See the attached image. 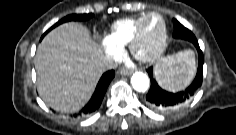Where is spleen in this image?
I'll list each match as a JSON object with an SVG mask.
<instances>
[{
    "label": "spleen",
    "instance_id": "obj_1",
    "mask_svg": "<svg viewBox=\"0 0 236 135\" xmlns=\"http://www.w3.org/2000/svg\"><path fill=\"white\" fill-rule=\"evenodd\" d=\"M196 72L195 54L192 50L167 56L155 66V77L161 87L176 92L188 86Z\"/></svg>",
    "mask_w": 236,
    "mask_h": 135
}]
</instances>
